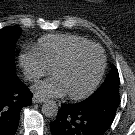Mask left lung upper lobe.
Instances as JSON below:
<instances>
[{
    "label": "left lung upper lobe",
    "instance_id": "obj_1",
    "mask_svg": "<svg viewBox=\"0 0 135 135\" xmlns=\"http://www.w3.org/2000/svg\"><path fill=\"white\" fill-rule=\"evenodd\" d=\"M111 90L116 92H118L119 90V74L118 70L115 67L112 68L102 86L92 95H104Z\"/></svg>",
    "mask_w": 135,
    "mask_h": 135
}]
</instances>
